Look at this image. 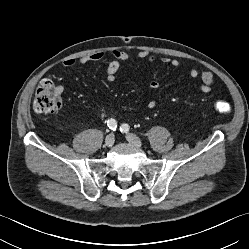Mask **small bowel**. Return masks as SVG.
Returning <instances> with one entry per match:
<instances>
[{
    "label": "small bowel",
    "mask_w": 249,
    "mask_h": 249,
    "mask_svg": "<svg viewBox=\"0 0 249 249\" xmlns=\"http://www.w3.org/2000/svg\"><path fill=\"white\" fill-rule=\"evenodd\" d=\"M104 58H109V63L106 68V79L110 82H113L116 80L117 73L120 69V66L124 62H128L131 60V57L122 50H112L110 52H96L90 55H85L79 59V63L81 64H87L90 62H98ZM136 58L138 60H146L150 63L156 62L157 57L154 55L149 54L147 51H140L136 55ZM161 62L171 65L172 67H179L181 65V62L177 58H170V57H163L160 59ZM64 66L66 67H73L76 64V61L74 59H67L64 61ZM189 76L192 79L201 78V83L199 85V89L203 93H209L212 90L213 85V75L211 72L204 71L200 73L197 68L192 67L189 70ZM160 87V84L157 81H152L149 84V88L151 91H157ZM157 105L156 99H151L147 103L148 109H154Z\"/></svg>",
    "instance_id": "c3829d8e"
}]
</instances>
